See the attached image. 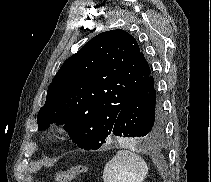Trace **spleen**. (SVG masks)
<instances>
[{
	"instance_id": "spleen-1",
	"label": "spleen",
	"mask_w": 211,
	"mask_h": 182,
	"mask_svg": "<svg viewBox=\"0 0 211 182\" xmlns=\"http://www.w3.org/2000/svg\"><path fill=\"white\" fill-rule=\"evenodd\" d=\"M148 173L144 159L134 152L120 150L106 163L104 182H142Z\"/></svg>"
}]
</instances>
